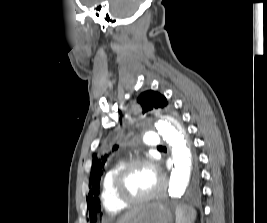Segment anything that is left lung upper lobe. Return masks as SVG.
<instances>
[{
  "label": "left lung upper lobe",
  "instance_id": "5c2ea615",
  "mask_svg": "<svg viewBox=\"0 0 267 223\" xmlns=\"http://www.w3.org/2000/svg\"><path fill=\"white\" fill-rule=\"evenodd\" d=\"M137 102L141 105L143 113L158 108L171 109V104L168 102L166 97L156 91H145L138 98ZM117 149L114 146V150ZM108 162V154L104 156L94 155L92 161V172L90 174V187L91 190L87 197V211L88 214H106V209H103L102 203L99 202V187L101 175L103 174L104 167ZM196 171V170H195Z\"/></svg>",
  "mask_w": 267,
  "mask_h": 223
}]
</instances>
